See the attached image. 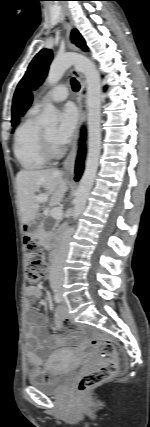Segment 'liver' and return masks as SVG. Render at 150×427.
<instances>
[{"mask_svg":"<svg viewBox=\"0 0 150 427\" xmlns=\"http://www.w3.org/2000/svg\"><path fill=\"white\" fill-rule=\"evenodd\" d=\"M16 183L23 224H29L39 217V203L35 199V193L41 187L47 191L50 206L60 204L67 190V181L57 169L21 170L16 176Z\"/></svg>","mask_w":150,"mask_h":427,"instance_id":"6515ba94","label":"liver"}]
</instances>
